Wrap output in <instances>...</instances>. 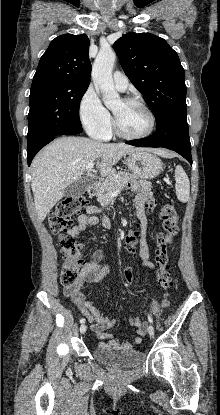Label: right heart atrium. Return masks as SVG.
<instances>
[{
  "label": "right heart atrium",
  "mask_w": 220,
  "mask_h": 415,
  "mask_svg": "<svg viewBox=\"0 0 220 415\" xmlns=\"http://www.w3.org/2000/svg\"><path fill=\"white\" fill-rule=\"evenodd\" d=\"M79 118L85 131L95 139H102L111 129V117L96 91L88 87L79 102Z\"/></svg>",
  "instance_id": "d8ad5b80"
}]
</instances>
